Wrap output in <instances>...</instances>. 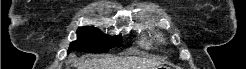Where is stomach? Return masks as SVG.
I'll list each match as a JSON object with an SVG mask.
<instances>
[{
	"label": "stomach",
	"mask_w": 246,
	"mask_h": 69,
	"mask_svg": "<svg viewBox=\"0 0 246 69\" xmlns=\"http://www.w3.org/2000/svg\"><path fill=\"white\" fill-rule=\"evenodd\" d=\"M152 69H170V68H168L166 66H163V65H159V66H156V67H154Z\"/></svg>",
	"instance_id": "stomach-1"
}]
</instances>
